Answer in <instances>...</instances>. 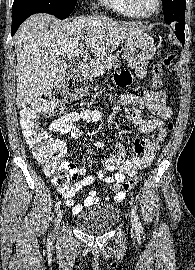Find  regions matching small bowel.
<instances>
[{
    "label": "small bowel",
    "instance_id": "obj_1",
    "mask_svg": "<svg viewBox=\"0 0 195 270\" xmlns=\"http://www.w3.org/2000/svg\"><path fill=\"white\" fill-rule=\"evenodd\" d=\"M115 83L120 87L128 86L132 82V75L128 71H120L115 75ZM146 92L144 95L123 94L120 96L117 104L109 116V124L114 126L118 115L127 105H135L144 110L128 111L127 117L139 125L140 134L132 144V151L135 154L129 157L125 148L120 143L116 144L117 153L108 156L103 161V169L99 170L96 175H86L87 168L84 164L76 166L73 162L65 161L64 168L69 176L75 180L72 187L61 190V194L66 199L67 205L72 207L74 214H79L83 206L90 207L94 204L103 202V199L97 195L95 190L89 191L83 201V205L76 204L74 201L75 194L84 187L102 181L105 184L113 185L115 193L114 200L122 201L125 198V192L120 188V184L125 180L126 175L133 177L139 170L149 166L155 157V153L160 149L161 142L166 136L164 122L152 119L150 115H156L160 119H169L172 116V109L165 103L160 106H154L148 103ZM102 119L101 112L92 109H81L71 111L55 119L49 126V131L61 136L70 134L73 138L79 139L84 135V130L78 126V122L83 121L86 124H94ZM97 147L103 146L100 141ZM113 172L111 176H105L104 172ZM108 198H106L107 200Z\"/></svg>",
    "mask_w": 195,
    "mask_h": 270
}]
</instances>
